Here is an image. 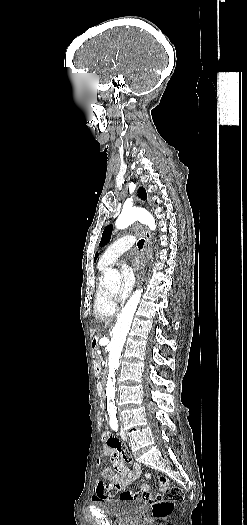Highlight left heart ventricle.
Masks as SVG:
<instances>
[{"label": "left heart ventricle", "mask_w": 247, "mask_h": 525, "mask_svg": "<svg viewBox=\"0 0 247 525\" xmlns=\"http://www.w3.org/2000/svg\"><path fill=\"white\" fill-rule=\"evenodd\" d=\"M117 268L119 269L120 272H123L124 270H129L131 268V263H130V260H129V253L127 254H124L118 261H117V264H116ZM112 291H115L118 289L117 286H111L109 287ZM142 324H147V323H142Z\"/></svg>", "instance_id": "left-heart-ventricle-1"}]
</instances>
